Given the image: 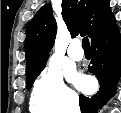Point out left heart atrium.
<instances>
[{
  "mask_svg": "<svg viewBox=\"0 0 121 113\" xmlns=\"http://www.w3.org/2000/svg\"><path fill=\"white\" fill-rule=\"evenodd\" d=\"M69 78H70L71 80H76V79H77V81L81 82L82 85H85V84H86L85 81H83V80H81V79H78V78L76 77L75 74L69 75Z\"/></svg>",
  "mask_w": 121,
  "mask_h": 113,
  "instance_id": "39dd6f15",
  "label": "left heart atrium"
}]
</instances>
